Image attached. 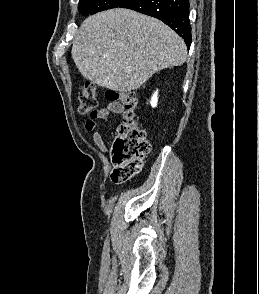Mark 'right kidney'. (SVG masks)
<instances>
[{
	"label": "right kidney",
	"instance_id": "1",
	"mask_svg": "<svg viewBox=\"0 0 259 294\" xmlns=\"http://www.w3.org/2000/svg\"><path fill=\"white\" fill-rule=\"evenodd\" d=\"M158 101V91H156L153 96L151 97L150 104L152 107H156Z\"/></svg>",
	"mask_w": 259,
	"mask_h": 294
}]
</instances>
